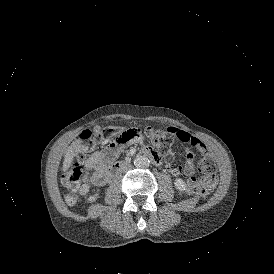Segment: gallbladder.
<instances>
[{
    "instance_id": "gallbladder-1",
    "label": "gallbladder",
    "mask_w": 274,
    "mask_h": 274,
    "mask_svg": "<svg viewBox=\"0 0 274 274\" xmlns=\"http://www.w3.org/2000/svg\"><path fill=\"white\" fill-rule=\"evenodd\" d=\"M100 129H101V127L97 125L94 127V132L97 133L100 131Z\"/></svg>"
}]
</instances>
